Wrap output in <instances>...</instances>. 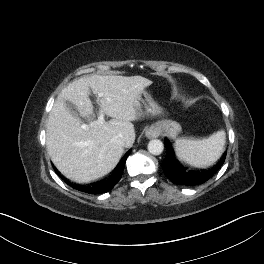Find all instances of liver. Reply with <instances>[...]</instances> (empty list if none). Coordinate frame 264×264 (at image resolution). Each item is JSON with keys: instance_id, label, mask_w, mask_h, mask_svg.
Instances as JSON below:
<instances>
[{"instance_id": "1", "label": "liver", "mask_w": 264, "mask_h": 264, "mask_svg": "<svg viewBox=\"0 0 264 264\" xmlns=\"http://www.w3.org/2000/svg\"><path fill=\"white\" fill-rule=\"evenodd\" d=\"M152 81L142 76L92 75L81 77L64 88L57 97L47 122L46 146L52 162L67 178L78 182L99 179L111 172L135 140L132 121L139 118L140 95ZM90 90L98 97L100 111L112 117L97 125L93 121ZM65 101L75 105L78 115L90 121L81 128ZM123 136L126 145L112 141Z\"/></svg>"}]
</instances>
